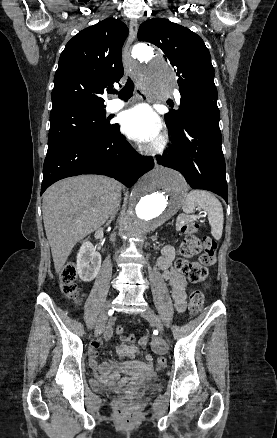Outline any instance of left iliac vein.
I'll return each mask as SVG.
<instances>
[{
    "label": "left iliac vein",
    "mask_w": 277,
    "mask_h": 438,
    "mask_svg": "<svg viewBox=\"0 0 277 438\" xmlns=\"http://www.w3.org/2000/svg\"><path fill=\"white\" fill-rule=\"evenodd\" d=\"M141 315L149 322H151L161 334L163 333L164 331L163 323L159 318V316L152 309L150 308L146 309Z\"/></svg>",
    "instance_id": "left-iliac-vein-1"
}]
</instances>
